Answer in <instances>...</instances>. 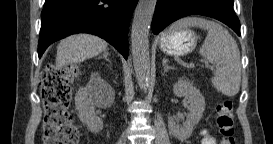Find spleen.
Returning a JSON list of instances; mask_svg holds the SVG:
<instances>
[{
  "instance_id": "3e777b00",
  "label": "spleen",
  "mask_w": 273,
  "mask_h": 144,
  "mask_svg": "<svg viewBox=\"0 0 273 144\" xmlns=\"http://www.w3.org/2000/svg\"><path fill=\"white\" fill-rule=\"evenodd\" d=\"M187 27L207 30V36L199 53L216 66L211 82L224 95L235 96L240 89L241 62L234 38L220 24L199 17L183 18L175 22L170 30Z\"/></svg>"
}]
</instances>
